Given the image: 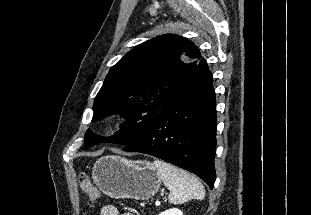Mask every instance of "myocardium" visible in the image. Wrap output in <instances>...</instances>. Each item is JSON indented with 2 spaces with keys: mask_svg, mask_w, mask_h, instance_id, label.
Wrapping results in <instances>:
<instances>
[{
  "mask_svg": "<svg viewBox=\"0 0 311 215\" xmlns=\"http://www.w3.org/2000/svg\"><path fill=\"white\" fill-rule=\"evenodd\" d=\"M123 123L124 119L119 116L112 117L109 121V124L114 128H120L123 125Z\"/></svg>",
  "mask_w": 311,
  "mask_h": 215,
  "instance_id": "obj_1",
  "label": "myocardium"
}]
</instances>
